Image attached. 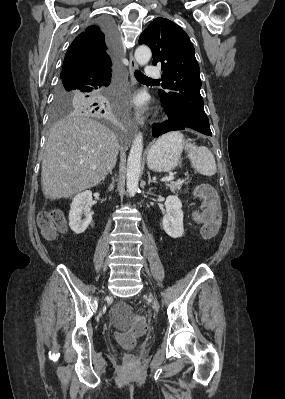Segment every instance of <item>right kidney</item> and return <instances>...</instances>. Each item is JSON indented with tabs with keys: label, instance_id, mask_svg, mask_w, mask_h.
Returning <instances> with one entry per match:
<instances>
[{
	"label": "right kidney",
	"instance_id": "ca27d5eb",
	"mask_svg": "<svg viewBox=\"0 0 285 399\" xmlns=\"http://www.w3.org/2000/svg\"><path fill=\"white\" fill-rule=\"evenodd\" d=\"M91 203V191H84L73 198L69 211V226L75 234L83 233L91 223ZM82 216H84V219H82Z\"/></svg>",
	"mask_w": 285,
	"mask_h": 399
}]
</instances>
